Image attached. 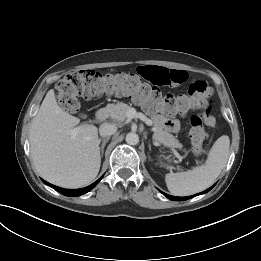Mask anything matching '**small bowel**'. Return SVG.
<instances>
[{
	"instance_id": "c3829d8e",
	"label": "small bowel",
	"mask_w": 261,
	"mask_h": 261,
	"mask_svg": "<svg viewBox=\"0 0 261 261\" xmlns=\"http://www.w3.org/2000/svg\"><path fill=\"white\" fill-rule=\"evenodd\" d=\"M139 72L151 83L161 86H176L184 83L188 78V74L184 70H174L153 65L142 66L139 68ZM153 120L169 132H177L179 130V123L175 119L157 114L154 115Z\"/></svg>"
}]
</instances>
